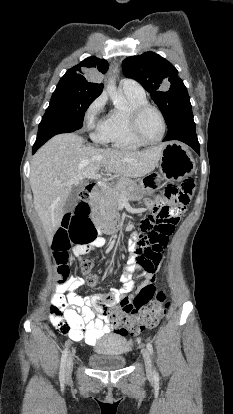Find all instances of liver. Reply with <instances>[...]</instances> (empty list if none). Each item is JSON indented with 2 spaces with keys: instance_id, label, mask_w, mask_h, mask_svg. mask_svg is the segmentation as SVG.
I'll return each mask as SVG.
<instances>
[{
  "instance_id": "obj_1",
  "label": "liver",
  "mask_w": 233,
  "mask_h": 414,
  "mask_svg": "<svg viewBox=\"0 0 233 414\" xmlns=\"http://www.w3.org/2000/svg\"><path fill=\"white\" fill-rule=\"evenodd\" d=\"M165 144L142 151L86 145L76 133L52 137L33 156L30 185L35 211L49 242L61 225L63 207L73 185L104 167L124 177H143L157 166Z\"/></svg>"
}]
</instances>
